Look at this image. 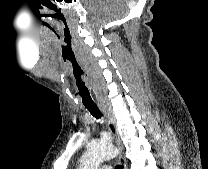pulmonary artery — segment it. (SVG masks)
Wrapping results in <instances>:
<instances>
[{
    "instance_id": "obj_1",
    "label": "pulmonary artery",
    "mask_w": 208,
    "mask_h": 169,
    "mask_svg": "<svg viewBox=\"0 0 208 169\" xmlns=\"http://www.w3.org/2000/svg\"><path fill=\"white\" fill-rule=\"evenodd\" d=\"M101 169H112L109 165L103 164L100 166Z\"/></svg>"
}]
</instances>
